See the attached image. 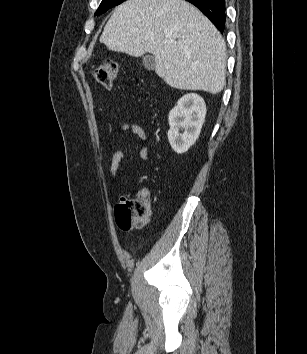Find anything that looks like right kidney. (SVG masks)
Here are the masks:
<instances>
[{"label":"right kidney","mask_w":307,"mask_h":354,"mask_svg":"<svg viewBox=\"0 0 307 354\" xmlns=\"http://www.w3.org/2000/svg\"><path fill=\"white\" fill-rule=\"evenodd\" d=\"M206 105L195 93L181 97L169 113L168 140L177 154L188 151L198 139L205 120ZM180 130L182 133H180Z\"/></svg>","instance_id":"1"}]
</instances>
